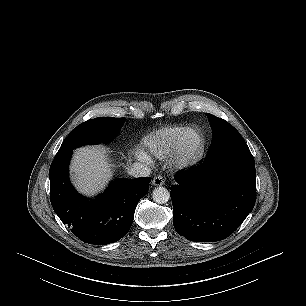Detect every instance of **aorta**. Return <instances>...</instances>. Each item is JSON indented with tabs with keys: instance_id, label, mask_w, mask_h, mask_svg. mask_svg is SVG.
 I'll use <instances>...</instances> for the list:
<instances>
[{
	"instance_id": "1",
	"label": "aorta",
	"mask_w": 306,
	"mask_h": 306,
	"mask_svg": "<svg viewBox=\"0 0 306 306\" xmlns=\"http://www.w3.org/2000/svg\"><path fill=\"white\" fill-rule=\"evenodd\" d=\"M152 198L156 203L164 204L169 200L170 193L165 187L159 186L153 190Z\"/></svg>"
}]
</instances>
